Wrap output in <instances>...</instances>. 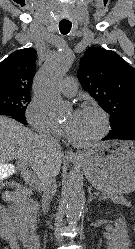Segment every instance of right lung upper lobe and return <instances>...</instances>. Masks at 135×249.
<instances>
[{"label":"right lung upper lobe","instance_id":"1","mask_svg":"<svg viewBox=\"0 0 135 249\" xmlns=\"http://www.w3.org/2000/svg\"><path fill=\"white\" fill-rule=\"evenodd\" d=\"M37 52L26 48L11 53L0 63V91L28 92L33 81Z\"/></svg>","mask_w":135,"mask_h":249}]
</instances>
